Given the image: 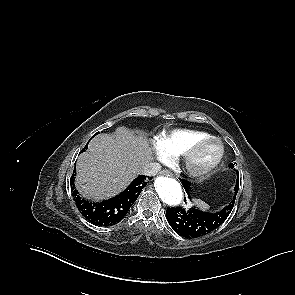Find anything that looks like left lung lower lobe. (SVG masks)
I'll use <instances>...</instances> for the list:
<instances>
[{
    "mask_svg": "<svg viewBox=\"0 0 295 295\" xmlns=\"http://www.w3.org/2000/svg\"><path fill=\"white\" fill-rule=\"evenodd\" d=\"M238 173V172H237ZM187 193L191 191L190 183L181 180ZM239 189V174L234 188L233 200L216 213H208L192 207L189 210L178 206L166 210L167 221L170 226L185 238H197L209 234L218 228L229 216L233 209L235 198ZM189 198L191 199L190 195Z\"/></svg>",
    "mask_w": 295,
    "mask_h": 295,
    "instance_id": "left-lung-lower-lobe-1",
    "label": "left lung lower lobe"
}]
</instances>
